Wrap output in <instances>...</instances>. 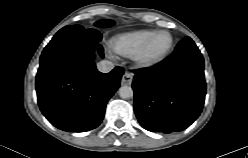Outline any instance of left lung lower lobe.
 <instances>
[{
	"label": "left lung lower lobe",
	"mask_w": 248,
	"mask_h": 158,
	"mask_svg": "<svg viewBox=\"0 0 248 158\" xmlns=\"http://www.w3.org/2000/svg\"><path fill=\"white\" fill-rule=\"evenodd\" d=\"M203 57L185 37L163 62L135 71L134 111L152 132L182 131L200 115L206 94Z\"/></svg>",
	"instance_id": "0a47b994"
}]
</instances>
